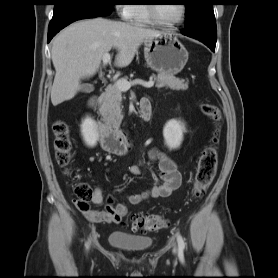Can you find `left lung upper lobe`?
Returning <instances> with one entry per match:
<instances>
[{
	"label": "left lung upper lobe",
	"instance_id": "obj_1",
	"mask_svg": "<svg viewBox=\"0 0 278 278\" xmlns=\"http://www.w3.org/2000/svg\"><path fill=\"white\" fill-rule=\"evenodd\" d=\"M214 3V0H185L187 8L185 28H200L210 38L216 40V20L212 8Z\"/></svg>",
	"mask_w": 278,
	"mask_h": 278
}]
</instances>
